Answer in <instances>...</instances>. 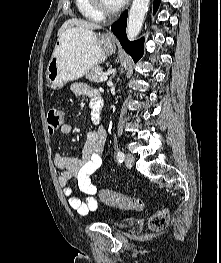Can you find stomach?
I'll list each match as a JSON object with an SVG mask.
<instances>
[{"mask_svg":"<svg viewBox=\"0 0 221 263\" xmlns=\"http://www.w3.org/2000/svg\"><path fill=\"white\" fill-rule=\"evenodd\" d=\"M114 51L115 41L108 34L100 35L84 29L64 31L47 66V86L57 89L83 77Z\"/></svg>","mask_w":221,"mask_h":263,"instance_id":"1","label":"stomach"}]
</instances>
